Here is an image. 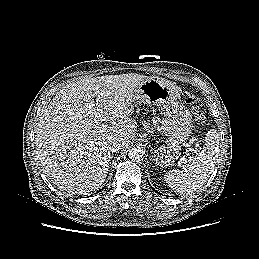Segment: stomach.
<instances>
[{
	"label": "stomach",
	"mask_w": 259,
	"mask_h": 259,
	"mask_svg": "<svg viewBox=\"0 0 259 259\" xmlns=\"http://www.w3.org/2000/svg\"><path fill=\"white\" fill-rule=\"evenodd\" d=\"M136 106L151 104L161 107L163 118L161 131L168 137L167 147H159L156 161L163 167L172 165L180 155L182 145L192 133L191 115L180 103V89L175 83L153 77L135 90Z\"/></svg>",
	"instance_id": "stomach-1"
}]
</instances>
